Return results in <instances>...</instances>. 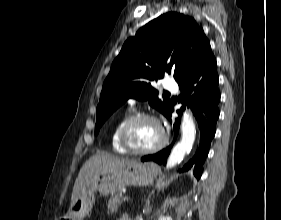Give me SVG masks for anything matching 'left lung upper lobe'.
Instances as JSON below:
<instances>
[{"label":"left lung upper lobe","mask_w":281,"mask_h":220,"mask_svg":"<svg viewBox=\"0 0 281 220\" xmlns=\"http://www.w3.org/2000/svg\"><path fill=\"white\" fill-rule=\"evenodd\" d=\"M210 47L203 29L189 16L165 13L140 28L124 43L104 81L97 106L95 133L128 98L148 100L166 117L171 109L167 98H157L151 86L165 74L176 81L185 75L195 56Z\"/></svg>","instance_id":"5c2ea615"}]
</instances>
